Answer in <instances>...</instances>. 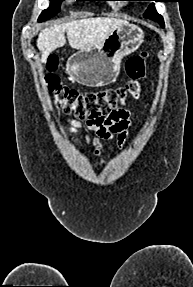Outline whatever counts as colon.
<instances>
[{"instance_id": "5ec220e1", "label": "colon", "mask_w": 193, "mask_h": 287, "mask_svg": "<svg viewBox=\"0 0 193 287\" xmlns=\"http://www.w3.org/2000/svg\"><path fill=\"white\" fill-rule=\"evenodd\" d=\"M147 59L148 54L143 53L126 61L125 70L129 76V81L124 86L79 93L60 82L54 73L58 67V60L55 56H51L47 63L45 86L55 98L58 107L65 112L73 113L81 119L102 121L120 105L139 97L141 80L146 75Z\"/></svg>"}]
</instances>
